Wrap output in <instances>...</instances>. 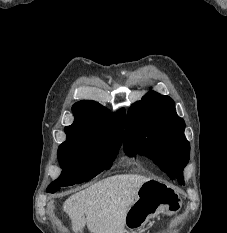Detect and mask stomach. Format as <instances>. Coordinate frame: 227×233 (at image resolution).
I'll use <instances>...</instances> for the list:
<instances>
[{"instance_id":"1","label":"stomach","mask_w":227,"mask_h":233,"mask_svg":"<svg viewBox=\"0 0 227 233\" xmlns=\"http://www.w3.org/2000/svg\"><path fill=\"white\" fill-rule=\"evenodd\" d=\"M181 197L169 184L149 180L138 189L125 219L130 230L142 228L159 213L171 214L179 211Z\"/></svg>"}]
</instances>
